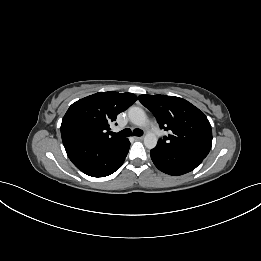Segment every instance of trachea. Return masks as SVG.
<instances>
[{
	"instance_id": "trachea-1",
	"label": "trachea",
	"mask_w": 261,
	"mask_h": 261,
	"mask_svg": "<svg viewBox=\"0 0 261 261\" xmlns=\"http://www.w3.org/2000/svg\"><path fill=\"white\" fill-rule=\"evenodd\" d=\"M112 136L114 137H129L132 135V132L129 128H126L118 133H111ZM133 135L134 136H142L143 135V131L141 129H134L133 130Z\"/></svg>"
}]
</instances>
